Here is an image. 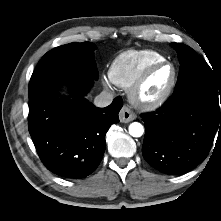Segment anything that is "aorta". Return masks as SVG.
<instances>
[{
	"label": "aorta",
	"mask_w": 221,
	"mask_h": 221,
	"mask_svg": "<svg viewBox=\"0 0 221 221\" xmlns=\"http://www.w3.org/2000/svg\"><path fill=\"white\" fill-rule=\"evenodd\" d=\"M144 133V127L139 122H133L129 125V134L132 137H141Z\"/></svg>",
	"instance_id": "aorta-1"
}]
</instances>
